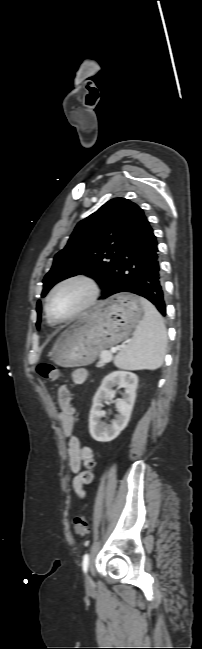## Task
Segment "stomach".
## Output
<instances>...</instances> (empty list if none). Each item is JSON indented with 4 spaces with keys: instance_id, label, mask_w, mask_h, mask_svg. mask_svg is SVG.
Wrapping results in <instances>:
<instances>
[{
    "instance_id": "stomach-1",
    "label": "stomach",
    "mask_w": 202,
    "mask_h": 649,
    "mask_svg": "<svg viewBox=\"0 0 202 649\" xmlns=\"http://www.w3.org/2000/svg\"><path fill=\"white\" fill-rule=\"evenodd\" d=\"M140 299L132 294H117L99 302L60 334L48 356L62 367L92 363L102 350L128 338L139 324L144 315Z\"/></svg>"
}]
</instances>
